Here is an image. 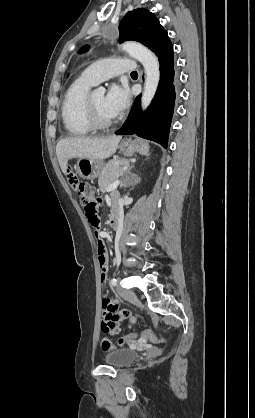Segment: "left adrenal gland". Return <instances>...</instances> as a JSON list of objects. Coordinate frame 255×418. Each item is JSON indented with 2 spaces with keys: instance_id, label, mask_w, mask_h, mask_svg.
<instances>
[{
  "instance_id": "obj_1",
  "label": "left adrenal gland",
  "mask_w": 255,
  "mask_h": 418,
  "mask_svg": "<svg viewBox=\"0 0 255 418\" xmlns=\"http://www.w3.org/2000/svg\"><path fill=\"white\" fill-rule=\"evenodd\" d=\"M134 167V163L128 168L126 173H130V170ZM135 176V175H133ZM136 183H132L130 179H126L122 182L121 186L127 187L128 185H135Z\"/></svg>"
}]
</instances>
